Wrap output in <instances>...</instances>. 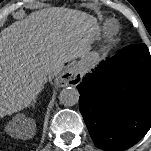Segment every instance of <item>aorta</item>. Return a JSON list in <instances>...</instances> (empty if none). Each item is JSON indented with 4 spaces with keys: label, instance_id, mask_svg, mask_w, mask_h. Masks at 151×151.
<instances>
[{
    "label": "aorta",
    "instance_id": "762f6f07",
    "mask_svg": "<svg viewBox=\"0 0 151 151\" xmlns=\"http://www.w3.org/2000/svg\"><path fill=\"white\" fill-rule=\"evenodd\" d=\"M80 94L76 88L66 87L61 90L59 100L64 106H74L79 101Z\"/></svg>",
    "mask_w": 151,
    "mask_h": 151
}]
</instances>
